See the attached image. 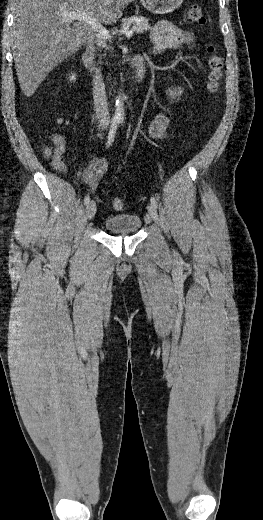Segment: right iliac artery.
<instances>
[{
	"label": "right iliac artery",
	"instance_id": "obj_1",
	"mask_svg": "<svg viewBox=\"0 0 263 520\" xmlns=\"http://www.w3.org/2000/svg\"><path fill=\"white\" fill-rule=\"evenodd\" d=\"M118 125H119V121L112 122L109 133H108V137H107V143H106L107 147H109L112 144V142L114 141ZM89 202H90V196L86 195L84 198V203L87 205Z\"/></svg>",
	"mask_w": 263,
	"mask_h": 520
}]
</instances>
